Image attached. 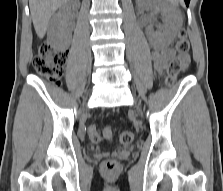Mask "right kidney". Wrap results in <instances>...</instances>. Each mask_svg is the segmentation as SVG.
<instances>
[{
    "instance_id": "ca27d5eb",
    "label": "right kidney",
    "mask_w": 223,
    "mask_h": 191,
    "mask_svg": "<svg viewBox=\"0 0 223 191\" xmlns=\"http://www.w3.org/2000/svg\"><path fill=\"white\" fill-rule=\"evenodd\" d=\"M77 8L76 2H68L55 14L49 25V42L58 51H64L70 44L72 33L69 28V13Z\"/></svg>"
}]
</instances>
